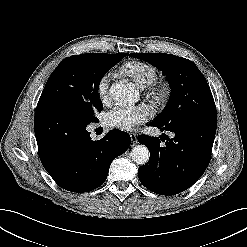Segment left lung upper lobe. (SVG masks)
I'll use <instances>...</instances> for the list:
<instances>
[{
    "instance_id": "1",
    "label": "left lung upper lobe",
    "mask_w": 247,
    "mask_h": 247,
    "mask_svg": "<svg viewBox=\"0 0 247 247\" xmlns=\"http://www.w3.org/2000/svg\"><path fill=\"white\" fill-rule=\"evenodd\" d=\"M156 66L167 77L171 87L170 99L165 109L154 119L162 127L180 124H217L214 99L208 83L190 60L165 53H131Z\"/></svg>"
}]
</instances>
